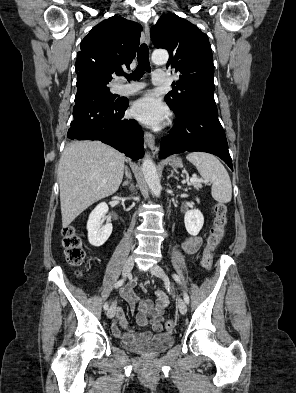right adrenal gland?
<instances>
[{
	"label": "right adrenal gland",
	"mask_w": 296,
	"mask_h": 393,
	"mask_svg": "<svg viewBox=\"0 0 296 393\" xmlns=\"http://www.w3.org/2000/svg\"><path fill=\"white\" fill-rule=\"evenodd\" d=\"M125 175H126L127 180L124 181V183L122 184V186H128L129 183H130V181H131V173H130V171H129V169H128L127 166H125Z\"/></svg>",
	"instance_id": "1"
}]
</instances>
